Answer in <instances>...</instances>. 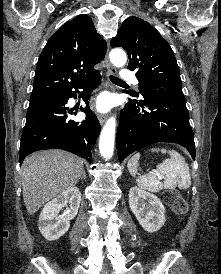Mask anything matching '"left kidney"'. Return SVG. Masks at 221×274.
<instances>
[{
	"mask_svg": "<svg viewBox=\"0 0 221 274\" xmlns=\"http://www.w3.org/2000/svg\"><path fill=\"white\" fill-rule=\"evenodd\" d=\"M129 205L139 224L147 232H156L164 225L165 208L156 195L132 187L129 191Z\"/></svg>",
	"mask_w": 221,
	"mask_h": 274,
	"instance_id": "5707ae66",
	"label": "left kidney"
}]
</instances>
